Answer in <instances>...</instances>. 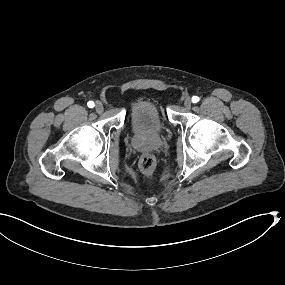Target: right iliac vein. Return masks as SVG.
Returning <instances> with one entry per match:
<instances>
[{"label":"right iliac vein","mask_w":285,"mask_h":285,"mask_svg":"<svg viewBox=\"0 0 285 285\" xmlns=\"http://www.w3.org/2000/svg\"><path fill=\"white\" fill-rule=\"evenodd\" d=\"M95 109L98 113H102L104 111V107H103L102 103H100V102L96 103Z\"/></svg>","instance_id":"1"}]
</instances>
